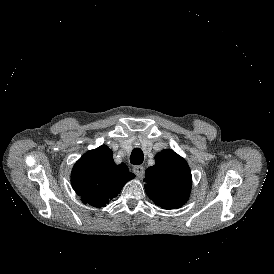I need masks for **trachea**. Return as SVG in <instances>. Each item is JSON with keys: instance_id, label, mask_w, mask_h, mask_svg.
I'll use <instances>...</instances> for the list:
<instances>
[{"instance_id": "trachea-1", "label": "trachea", "mask_w": 274, "mask_h": 274, "mask_svg": "<svg viewBox=\"0 0 274 274\" xmlns=\"http://www.w3.org/2000/svg\"><path fill=\"white\" fill-rule=\"evenodd\" d=\"M144 154L140 148H134L130 156V162L135 165L142 164Z\"/></svg>"}]
</instances>
